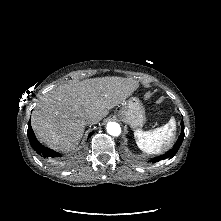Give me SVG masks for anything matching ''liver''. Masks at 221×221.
<instances>
[{"mask_svg": "<svg viewBox=\"0 0 221 221\" xmlns=\"http://www.w3.org/2000/svg\"><path fill=\"white\" fill-rule=\"evenodd\" d=\"M138 87L137 80L117 76L59 85L37 104L31 116L32 128L49 147L73 150L83 136L85 119L98 123Z\"/></svg>", "mask_w": 221, "mask_h": 221, "instance_id": "6515ba94", "label": "liver"}]
</instances>
